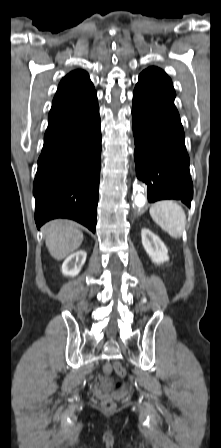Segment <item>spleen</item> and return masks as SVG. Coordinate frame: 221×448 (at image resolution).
I'll return each instance as SVG.
<instances>
[{
  "label": "spleen",
  "instance_id": "obj_1",
  "mask_svg": "<svg viewBox=\"0 0 221 448\" xmlns=\"http://www.w3.org/2000/svg\"><path fill=\"white\" fill-rule=\"evenodd\" d=\"M154 222L172 238L182 236L186 226V215L183 208L176 202L163 200L154 203L150 208Z\"/></svg>",
  "mask_w": 221,
  "mask_h": 448
}]
</instances>
